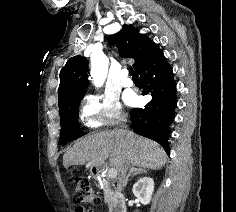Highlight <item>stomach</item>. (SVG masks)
I'll return each mask as SVG.
<instances>
[{"instance_id": "stomach-1", "label": "stomach", "mask_w": 236, "mask_h": 212, "mask_svg": "<svg viewBox=\"0 0 236 212\" xmlns=\"http://www.w3.org/2000/svg\"><path fill=\"white\" fill-rule=\"evenodd\" d=\"M90 169V173L94 175L96 173V168L95 167H88Z\"/></svg>"}]
</instances>
